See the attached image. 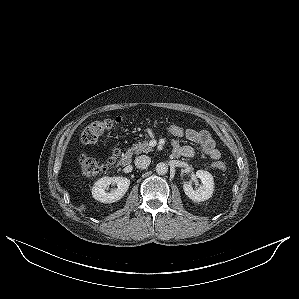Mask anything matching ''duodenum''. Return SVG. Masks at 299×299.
<instances>
[{"mask_svg":"<svg viewBox=\"0 0 299 299\" xmlns=\"http://www.w3.org/2000/svg\"><path fill=\"white\" fill-rule=\"evenodd\" d=\"M119 163L123 167L130 165V163H131V154L129 152L124 153L122 155V157L120 158Z\"/></svg>","mask_w":299,"mask_h":299,"instance_id":"obj_1","label":"duodenum"}]
</instances>
